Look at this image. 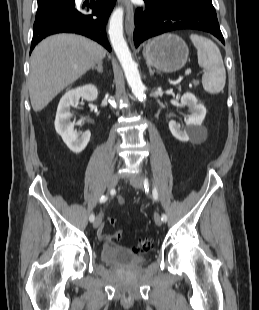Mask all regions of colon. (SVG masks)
<instances>
[{
    "mask_svg": "<svg viewBox=\"0 0 259 310\" xmlns=\"http://www.w3.org/2000/svg\"><path fill=\"white\" fill-rule=\"evenodd\" d=\"M108 221H109V223L111 225H115L116 224V219L115 218H109ZM122 235H123V231L120 230V229L115 230L114 233H113V237L115 239H120L122 237ZM152 245H153V243H152L151 240H148V239L142 240L134 247V251L136 253H139V254H145V253H147V252H149L151 250Z\"/></svg>",
    "mask_w": 259,
    "mask_h": 310,
    "instance_id": "1",
    "label": "colon"
}]
</instances>
